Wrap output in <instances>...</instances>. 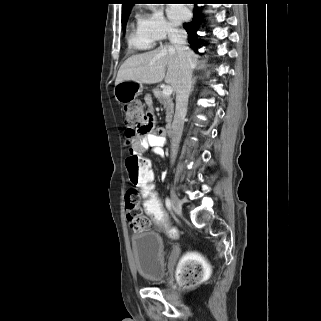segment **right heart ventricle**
Returning a JSON list of instances; mask_svg holds the SVG:
<instances>
[{
    "label": "right heart ventricle",
    "instance_id": "right-heart-ventricle-1",
    "mask_svg": "<svg viewBox=\"0 0 321 321\" xmlns=\"http://www.w3.org/2000/svg\"><path fill=\"white\" fill-rule=\"evenodd\" d=\"M155 40L149 37L138 26L134 27L128 36V45L130 48L138 51L149 50L153 47Z\"/></svg>",
    "mask_w": 321,
    "mask_h": 321
}]
</instances>
